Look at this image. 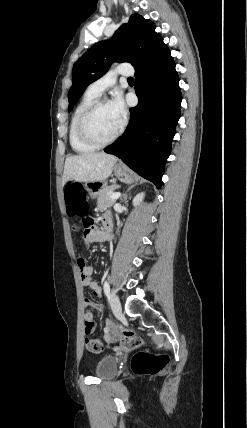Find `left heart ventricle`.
Wrapping results in <instances>:
<instances>
[{"instance_id": "1", "label": "left heart ventricle", "mask_w": 247, "mask_h": 428, "mask_svg": "<svg viewBox=\"0 0 247 428\" xmlns=\"http://www.w3.org/2000/svg\"><path fill=\"white\" fill-rule=\"evenodd\" d=\"M88 126L92 135L100 141L110 138L119 127L113 119L107 105L99 107L92 114Z\"/></svg>"}]
</instances>
